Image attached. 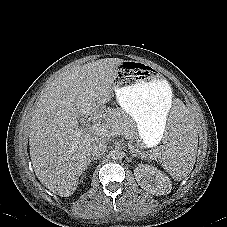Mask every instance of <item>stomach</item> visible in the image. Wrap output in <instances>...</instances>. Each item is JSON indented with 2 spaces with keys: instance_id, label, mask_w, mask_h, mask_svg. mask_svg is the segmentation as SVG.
Returning <instances> with one entry per match:
<instances>
[{
  "instance_id": "1",
  "label": "stomach",
  "mask_w": 227,
  "mask_h": 227,
  "mask_svg": "<svg viewBox=\"0 0 227 227\" xmlns=\"http://www.w3.org/2000/svg\"><path fill=\"white\" fill-rule=\"evenodd\" d=\"M111 75L119 106L135 121L143 146H153L163 136L171 108L168 81L153 67L129 59L116 62Z\"/></svg>"
}]
</instances>
